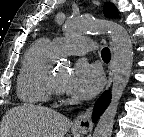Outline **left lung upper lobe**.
Instances as JSON below:
<instances>
[{"mask_svg":"<svg viewBox=\"0 0 144 137\" xmlns=\"http://www.w3.org/2000/svg\"><path fill=\"white\" fill-rule=\"evenodd\" d=\"M104 13L106 17L113 18L118 16L117 9L111 3H106L104 7Z\"/></svg>","mask_w":144,"mask_h":137,"instance_id":"1","label":"left lung upper lobe"}]
</instances>
